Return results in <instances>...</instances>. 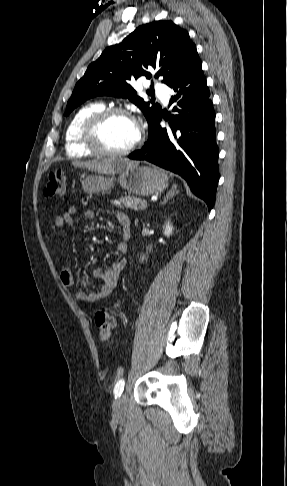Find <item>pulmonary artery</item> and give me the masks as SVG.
<instances>
[{
  "mask_svg": "<svg viewBox=\"0 0 287 486\" xmlns=\"http://www.w3.org/2000/svg\"><path fill=\"white\" fill-rule=\"evenodd\" d=\"M155 90L156 92L162 96L163 100L165 102L168 101V98H169V89L166 85H164L163 83L161 82H157L155 83Z\"/></svg>",
  "mask_w": 287,
  "mask_h": 486,
  "instance_id": "pulmonary-artery-1",
  "label": "pulmonary artery"
}]
</instances>
